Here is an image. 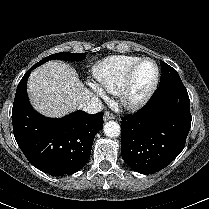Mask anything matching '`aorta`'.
<instances>
[{"label":"aorta","mask_w":209,"mask_h":209,"mask_svg":"<svg viewBox=\"0 0 209 209\" xmlns=\"http://www.w3.org/2000/svg\"><path fill=\"white\" fill-rule=\"evenodd\" d=\"M103 131L106 136L114 138L118 137L121 133L120 125L116 121L106 122Z\"/></svg>","instance_id":"762f6f07"}]
</instances>
